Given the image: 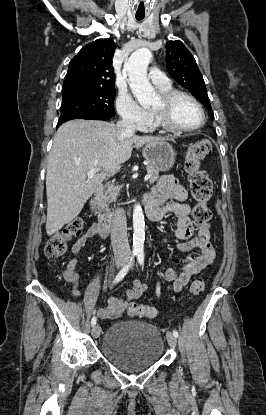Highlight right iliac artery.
<instances>
[{
	"instance_id": "right-iliac-artery-1",
	"label": "right iliac artery",
	"mask_w": 266,
	"mask_h": 415,
	"mask_svg": "<svg viewBox=\"0 0 266 415\" xmlns=\"http://www.w3.org/2000/svg\"><path fill=\"white\" fill-rule=\"evenodd\" d=\"M136 255H137V252H133L132 257H131L130 261L128 262V264H127V265H125V266H124V267L120 270V272L117 274V276L115 277V279H114V283H118V282H120V281H121V280L125 277V275L127 274L128 270H129V268H130V266H131L132 260H133V258H134ZM96 322H97V319H96V317L94 316V317L92 318V320H91V325H92V326H94V325L96 324Z\"/></svg>"
}]
</instances>
